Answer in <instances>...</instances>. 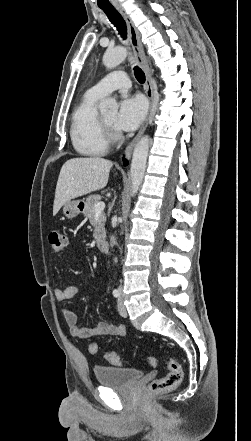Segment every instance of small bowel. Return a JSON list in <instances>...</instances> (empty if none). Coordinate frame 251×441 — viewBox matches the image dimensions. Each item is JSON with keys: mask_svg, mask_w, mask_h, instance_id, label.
Segmentation results:
<instances>
[{"mask_svg": "<svg viewBox=\"0 0 251 441\" xmlns=\"http://www.w3.org/2000/svg\"><path fill=\"white\" fill-rule=\"evenodd\" d=\"M79 289L74 285H68L67 287L54 290L56 299L60 302H65L72 299ZM64 319L69 326L71 333L79 338H93L97 336H118L123 337L126 335V327L124 325H117L108 322H98L94 326L87 328L79 323L78 317L72 311L64 309L62 311Z\"/></svg>", "mask_w": 251, "mask_h": 441, "instance_id": "small-bowel-1", "label": "small bowel"}]
</instances>
